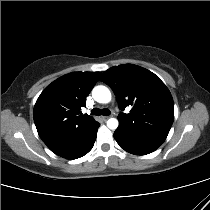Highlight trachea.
<instances>
[{
  "instance_id": "obj_1",
  "label": "trachea",
  "mask_w": 210,
  "mask_h": 210,
  "mask_svg": "<svg viewBox=\"0 0 210 210\" xmlns=\"http://www.w3.org/2000/svg\"><path fill=\"white\" fill-rule=\"evenodd\" d=\"M91 115H104V116H108L110 115V110L109 109H99V108H94L91 110Z\"/></svg>"
}]
</instances>
